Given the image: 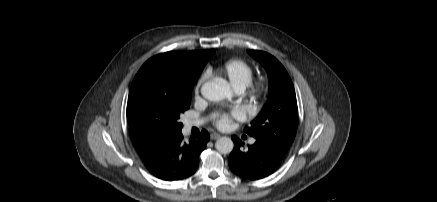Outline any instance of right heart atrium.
I'll return each instance as SVG.
<instances>
[{
    "label": "right heart atrium",
    "instance_id": "right-heart-atrium-1",
    "mask_svg": "<svg viewBox=\"0 0 437 202\" xmlns=\"http://www.w3.org/2000/svg\"><path fill=\"white\" fill-rule=\"evenodd\" d=\"M205 78H206V75H203V76L200 78V80H199V82H198V85H197V90L200 88V86H201V84L204 82Z\"/></svg>",
    "mask_w": 437,
    "mask_h": 202
}]
</instances>
